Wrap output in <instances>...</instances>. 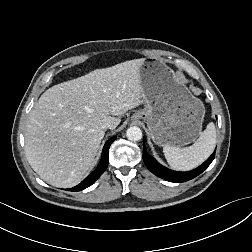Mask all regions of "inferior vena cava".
I'll return each mask as SVG.
<instances>
[{
    "mask_svg": "<svg viewBox=\"0 0 252 252\" xmlns=\"http://www.w3.org/2000/svg\"><path fill=\"white\" fill-rule=\"evenodd\" d=\"M101 128H103V129H107V128L113 129L114 126H113V124H112L111 122H109V121H104V122L101 124Z\"/></svg>",
    "mask_w": 252,
    "mask_h": 252,
    "instance_id": "inferior-vena-cava-1",
    "label": "inferior vena cava"
}]
</instances>
